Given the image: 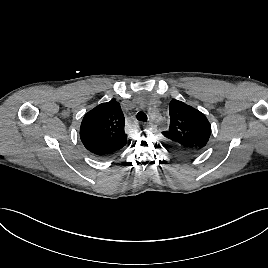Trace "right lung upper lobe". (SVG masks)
Listing matches in <instances>:
<instances>
[{
  "instance_id": "obj_1",
  "label": "right lung upper lobe",
  "mask_w": 268,
  "mask_h": 268,
  "mask_svg": "<svg viewBox=\"0 0 268 268\" xmlns=\"http://www.w3.org/2000/svg\"><path fill=\"white\" fill-rule=\"evenodd\" d=\"M124 126L120 104L111 100L85 114L80 126V138L91 153L107 158L126 145Z\"/></svg>"
}]
</instances>
